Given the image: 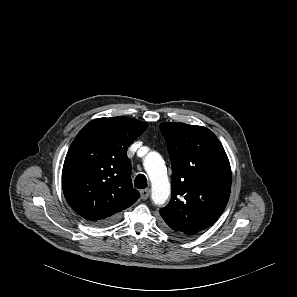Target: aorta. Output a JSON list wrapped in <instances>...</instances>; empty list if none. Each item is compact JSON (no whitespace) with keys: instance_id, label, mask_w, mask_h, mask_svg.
Masks as SVG:
<instances>
[{"instance_id":"1","label":"aorta","mask_w":297,"mask_h":297,"mask_svg":"<svg viewBox=\"0 0 297 297\" xmlns=\"http://www.w3.org/2000/svg\"><path fill=\"white\" fill-rule=\"evenodd\" d=\"M144 168L151 181L153 202L157 205L164 204L170 195V183L164 160L158 153L150 152L144 159Z\"/></svg>"}]
</instances>
